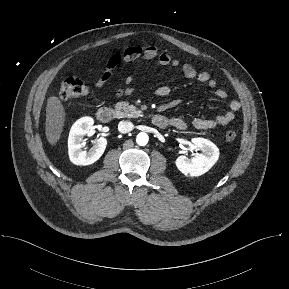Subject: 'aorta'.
<instances>
[{
  "mask_svg": "<svg viewBox=\"0 0 289 289\" xmlns=\"http://www.w3.org/2000/svg\"><path fill=\"white\" fill-rule=\"evenodd\" d=\"M149 137L146 133L141 132L136 137V142L140 146H145L148 143Z\"/></svg>",
  "mask_w": 289,
  "mask_h": 289,
  "instance_id": "obj_1",
  "label": "aorta"
}]
</instances>
